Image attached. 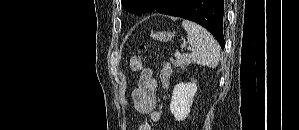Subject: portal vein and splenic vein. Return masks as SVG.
<instances>
[{
	"instance_id": "18ae733b",
	"label": "portal vein and splenic vein",
	"mask_w": 299,
	"mask_h": 130,
	"mask_svg": "<svg viewBox=\"0 0 299 130\" xmlns=\"http://www.w3.org/2000/svg\"><path fill=\"white\" fill-rule=\"evenodd\" d=\"M188 50H192L191 48H188ZM181 55V53L179 52V51H177L176 53H175V57H178V56H180Z\"/></svg>"
}]
</instances>
